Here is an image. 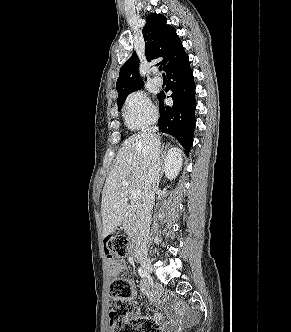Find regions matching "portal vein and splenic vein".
<instances>
[{
  "instance_id": "18ae733b",
  "label": "portal vein and splenic vein",
  "mask_w": 291,
  "mask_h": 332,
  "mask_svg": "<svg viewBox=\"0 0 291 332\" xmlns=\"http://www.w3.org/2000/svg\"><path fill=\"white\" fill-rule=\"evenodd\" d=\"M128 183L127 181H123L122 185L123 186H126ZM130 198L133 200V201H137L141 198V192L139 190H132L130 192Z\"/></svg>"
}]
</instances>
